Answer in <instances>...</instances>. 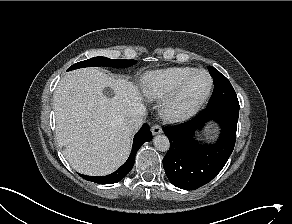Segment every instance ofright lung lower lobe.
Masks as SVG:
<instances>
[{
    "instance_id": "right-lung-lower-lobe-1",
    "label": "right lung lower lobe",
    "mask_w": 292,
    "mask_h": 224,
    "mask_svg": "<svg viewBox=\"0 0 292 224\" xmlns=\"http://www.w3.org/2000/svg\"><path fill=\"white\" fill-rule=\"evenodd\" d=\"M151 139H152V134L150 132V128L148 124L145 123L134 136L133 146H132V150H131V154L129 158L117 171L106 176H87V175H82V174H79V175L88 181L99 183V184L117 183L120 180H122L132 169L134 160H135V155L138 149L142 146L144 142L151 141Z\"/></svg>"
}]
</instances>
